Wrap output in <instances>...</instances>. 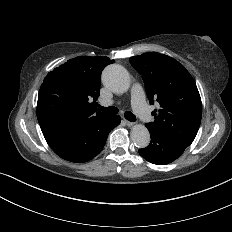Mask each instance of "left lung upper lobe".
Here are the masks:
<instances>
[{
  "instance_id": "1",
  "label": "left lung upper lobe",
  "mask_w": 232,
  "mask_h": 232,
  "mask_svg": "<svg viewBox=\"0 0 232 232\" xmlns=\"http://www.w3.org/2000/svg\"><path fill=\"white\" fill-rule=\"evenodd\" d=\"M142 75L154 122L146 127L189 146L201 123L202 103L190 73L175 59L157 52H147L129 59Z\"/></svg>"
}]
</instances>
